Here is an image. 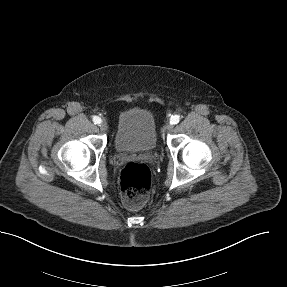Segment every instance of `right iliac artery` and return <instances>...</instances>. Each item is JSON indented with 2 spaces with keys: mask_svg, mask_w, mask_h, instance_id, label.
<instances>
[{
  "mask_svg": "<svg viewBox=\"0 0 287 287\" xmlns=\"http://www.w3.org/2000/svg\"><path fill=\"white\" fill-rule=\"evenodd\" d=\"M93 122H94V124H100L101 123V118H99L98 116H94L93 117Z\"/></svg>",
  "mask_w": 287,
  "mask_h": 287,
  "instance_id": "82829eb1",
  "label": "right iliac artery"
}]
</instances>
